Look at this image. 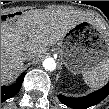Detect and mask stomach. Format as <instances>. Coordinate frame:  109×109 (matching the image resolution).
<instances>
[{"label":"stomach","mask_w":109,"mask_h":109,"mask_svg":"<svg viewBox=\"0 0 109 109\" xmlns=\"http://www.w3.org/2000/svg\"><path fill=\"white\" fill-rule=\"evenodd\" d=\"M61 61L73 74H84L109 61V37L92 21H81L57 43Z\"/></svg>","instance_id":"stomach-1"}]
</instances>
